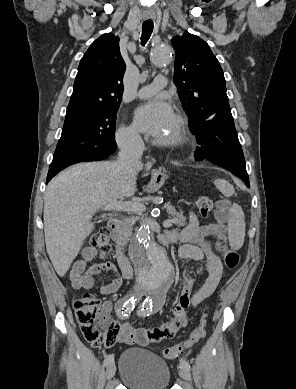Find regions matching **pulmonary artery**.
<instances>
[{
    "label": "pulmonary artery",
    "instance_id": "1",
    "mask_svg": "<svg viewBox=\"0 0 296 389\" xmlns=\"http://www.w3.org/2000/svg\"><path fill=\"white\" fill-rule=\"evenodd\" d=\"M165 85H166V78L162 75H158L155 77L154 81L151 84L142 87L138 91V97L149 98L155 95L162 88H164Z\"/></svg>",
    "mask_w": 296,
    "mask_h": 389
}]
</instances>
